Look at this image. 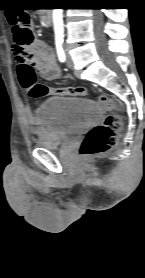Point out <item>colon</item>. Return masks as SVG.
Listing matches in <instances>:
<instances>
[{
	"mask_svg": "<svg viewBox=\"0 0 145 278\" xmlns=\"http://www.w3.org/2000/svg\"><path fill=\"white\" fill-rule=\"evenodd\" d=\"M8 24L14 43L21 48H28L33 44L31 19L28 12L19 10L7 16ZM21 86L34 99L48 96H83L86 94L84 87H52L37 80L34 75L23 77ZM99 105L111 111L104 122L89 129L79 146V154L83 159H88L98 154L111 150L117 142V131L122 125V117L118 113L119 105L108 94H101L98 98Z\"/></svg>",
	"mask_w": 145,
	"mask_h": 278,
	"instance_id": "obj_1",
	"label": "colon"
}]
</instances>
